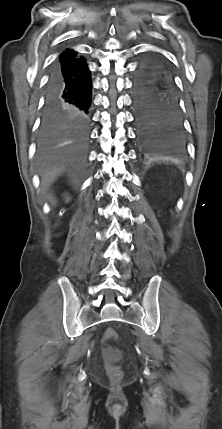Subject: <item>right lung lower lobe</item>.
<instances>
[{
  "instance_id": "1",
  "label": "right lung lower lobe",
  "mask_w": 222,
  "mask_h": 429,
  "mask_svg": "<svg viewBox=\"0 0 222 429\" xmlns=\"http://www.w3.org/2000/svg\"><path fill=\"white\" fill-rule=\"evenodd\" d=\"M91 78L87 64L66 50L51 67L42 126L82 134L88 124Z\"/></svg>"
}]
</instances>
